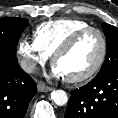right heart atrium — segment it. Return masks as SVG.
Instances as JSON below:
<instances>
[{"label": "right heart atrium", "instance_id": "d8ad5b80", "mask_svg": "<svg viewBox=\"0 0 118 118\" xmlns=\"http://www.w3.org/2000/svg\"><path fill=\"white\" fill-rule=\"evenodd\" d=\"M17 56L21 66L27 72H33L38 65L44 64L49 56L37 44L34 38L23 37L17 45Z\"/></svg>", "mask_w": 118, "mask_h": 118}]
</instances>
